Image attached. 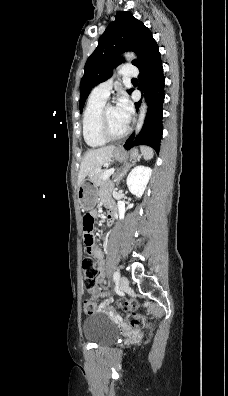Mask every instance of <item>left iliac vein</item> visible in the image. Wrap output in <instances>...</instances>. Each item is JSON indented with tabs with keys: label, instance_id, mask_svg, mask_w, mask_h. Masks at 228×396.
Wrapping results in <instances>:
<instances>
[{
	"label": "left iliac vein",
	"instance_id": "obj_1",
	"mask_svg": "<svg viewBox=\"0 0 228 396\" xmlns=\"http://www.w3.org/2000/svg\"><path fill=\"white\" fill-rule=\"evenodd\" d=\"M128 285H129V280H128V278L125 277V276H122V277L120 278V281H119V286H120V288L123 290V289L127 288Z\"/></svg>",
	"mask_w": 228,
	"mask_h": 396
}]
</instances>
